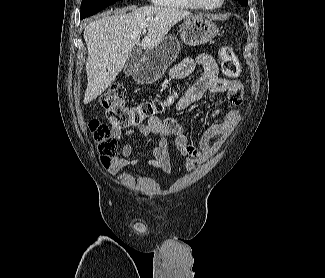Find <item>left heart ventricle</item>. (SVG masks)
I'll return each instance as SVG.
<instances>
[{"label": "left heart ventricle", "mask_w": 325, "mask_h": 278, "mask_svg": "<svg viewBox=\"0 0 325 278\" xmlns=\"http://www.w3.org/2000/svg\"><path fill=\"white\" fill-rule=\"evenodd\" d=\"M203 5L214 6L217 5L221 0H199Z\"/></svg>", "instance_id": "b2bd125f"}]
</instances>
